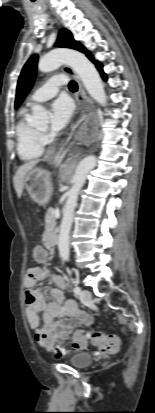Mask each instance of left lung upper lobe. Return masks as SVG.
Wrapping results in <instances>:
<instances>
[{"mask_svg": "<svg viewBox=\"0 0 155 413\" xmlns=\"http://www.w3.org/2000/svg\"><path fill=\"white\" fill-rule=\"evenodd\" d=\"M58 47H66L78 50L80 52L85 53L90 59L93 56L90 54L88 50L85 49L79 42L73 39V36L70 31L67 29H61L59 32L58 40L56 43ZM38 62V55H33L27 63L24 65L22 72L19 76L17 90H16V100H15V108L17 109L26 95L28 94L29 90L31 89L34 78L36 76V66Z\"/></svg>", "mask_w": 155, "mask_h": 413, "instance_id": "5c2ea615", "label": "left lung upper lobe"}]
</instances>
